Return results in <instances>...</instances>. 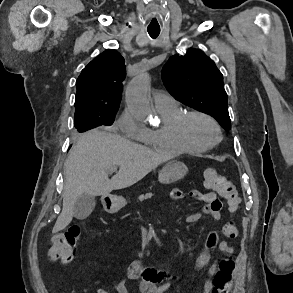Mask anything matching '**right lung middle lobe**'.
<instances>
[{"label": "right lung middle lobe", "instance_id": "obj_1", "mask_svg": "<svg viewBox=\"0 0 293 293\" xmlns=\"http://www.w3.org/2000/svg\"><path fill=\"white\" fill-rule=\"evenodd\" d=\"M116 111L111 113L79 112L76 111L74 126L78 132H85L100 125H111Z\"/></svg>", "mask_w": 293, "mask_h": 293}]
</instances>
